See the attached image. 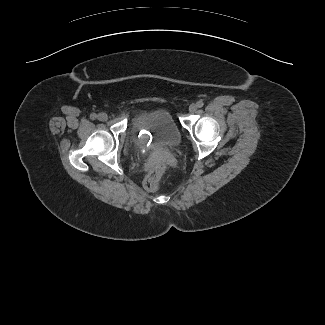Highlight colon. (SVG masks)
<instances>
[{
	"instance_id": "colon-1",
	"label": "colon",
	"mask_w": 325,
	"mask_h": 325,
	"mask_svg": "<svg viewBox=\"0 0 325 325\" xmlns=\"http://www.w3.org/2000/svg\"><path fill=\"white\" fill-rule=\"evenodd\" d=\"M167 170V166L161 163L154 167L144 179V187L148 191H156L160 187V181Z\"/></svg>"
}]
</instances>
